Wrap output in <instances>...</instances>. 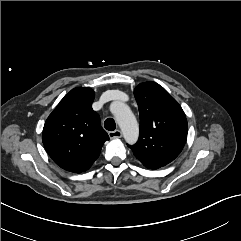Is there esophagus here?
Masks as SVG:
<instances>
[{"instance_id":"esophagus-1","label":"esophagus","mask_w":241,"mask_h":241,"mask_svg":"<svg viewBox=\"0 0 241 241\" xmlns=\"http://www.w3.org/2000/svg\"><path fill=\"white\" fill-rule=\"evenodd\" d=\"M108 135L110 138H121L122 132L120 130L110 131Z\"/></svg>"}]
</instances>
